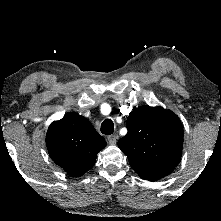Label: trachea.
I'll use <instances>...</instances> for the list:
<instances>
[{"label":"trachea","mask_w":221,"mask_h":221,"mask_svg":"<svg viewBox=\"0 0 221 221\" xmlns=\"http://www.w3.org/2000/svg\"><path fill=\"white\" fill-rule=\"evenodd\" d=\"M114 132V123L111 119H105L101 124V133L110 135Z\"/></svg>","instance_id":"obj_1"}]
</instances>
